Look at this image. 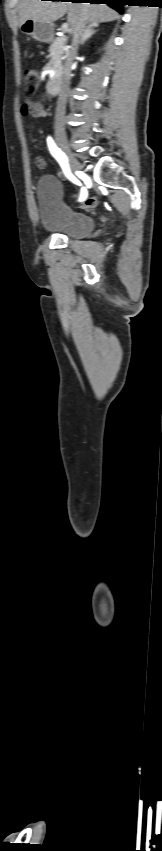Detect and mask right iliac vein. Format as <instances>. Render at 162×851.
Returning <instances> with one entry per match:
<instances>
[{"label":"right iliac vein","mask_w":162,"mask_h":851,"mask_svg":"<svg viewBox=\"0 0 162 851\" xmlns=\"http://www.w3.org/2000/svg\"><path fill=\"white\" fill-rule=\"evenodd\" d=\"M59 144H60L61 148L64 150V152L67 154L69 166H70V169L72 171V174L77 178L78 177L77 170H79L80 167H79V163H78L76 157L71 153L69 146L64 139H60Z\"/></svg>","instance_id":"obj_1"}]
</instances>
